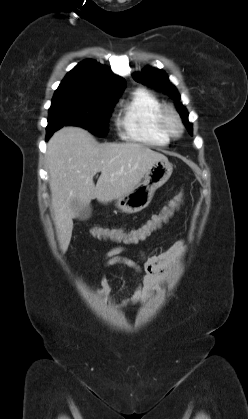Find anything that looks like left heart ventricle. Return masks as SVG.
<instances>
[{
    "label": "left heart ventricle",
    "mask_w": 248,
    "mask_h": 419,
    "mask_svg": "<svg viewBox=\"0 0 248 419\" xmlns=\"http://www.w3.org/2000/svg\"><path fill=\"white\" fill-rule=\"evenodd\" d=\"M172 124L175 126V123L172 121Z\"/></svg>",
    "instance_id": "obj_1"
}]
</instances>
